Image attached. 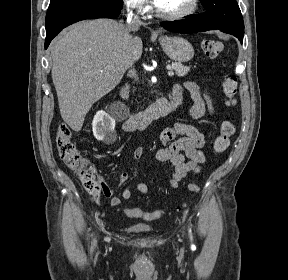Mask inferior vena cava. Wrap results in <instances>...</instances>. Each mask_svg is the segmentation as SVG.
I'll return each mask as SVG.
<instances>
[{
    "label": "inferior vena cava",
    "mask_w": 288,
    "mask_h": 280,
    "mask_svg": "<svg viewBox=\"0 0 288 280\" xmlns=\"http://www.w3.org/2000/svg\"><path fill=\"white\" fill-rule=\"evenodd\" d=\"M127 26L129 28H134V27H139L142 22L140 20V18L138 17V15H135L131 9V7H129L127 9ZM129 74L132 75V76H135L136 75V71L135 69H130L129 71Z\"/></svg>",
    "instance_id": "1"
}]
</instances>
